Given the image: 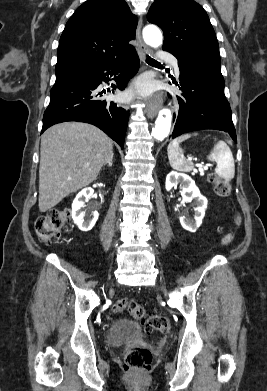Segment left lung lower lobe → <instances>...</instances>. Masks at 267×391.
I'll return each mask as SVG.
<instances>
[{"instance_id": "obj_1", "label": "left lung lower lobe", "mask_w": 267, "mask_h": 391, "mask_svg": "<svg viewBox=\"0 0 267 391\" xmlns=\"http://www.w3.org/2000/svg\"><path fill=\"white\" fill-rule=\"evenodd\" d=\"M174 56L178 59L180 84L177 85L183 98L178 97L180 111L172 138L190 131L216 129L228 132L237 142L221 71L185 63Z\"/></svg>"}]
</instances>
